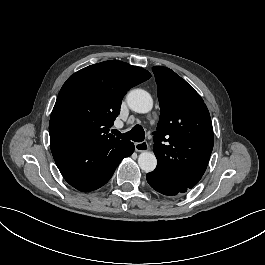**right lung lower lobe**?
<instances>
[{"instance_id": "1", "label": "right lung lower lobe", "mask_w": 265, "mask_h": 265, "mask_svg": "<svg viewBox=\"0 0 265 265\" xmlns=\"http://www.w3.org/2000/svg\"><path fill=\"white\" fill-rule=\"evenodd\" d=\"M50 147L64 179L84 192L106 184L121 160L134 151L132 142L118 139L93 143L57 138L51 139Z\"/></svg>"}]
</instances>
